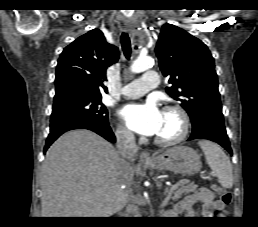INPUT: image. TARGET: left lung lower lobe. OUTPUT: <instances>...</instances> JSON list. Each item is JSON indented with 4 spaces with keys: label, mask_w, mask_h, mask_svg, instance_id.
Instances as JSON below:
<instances>
[{
    "label": "left lung lower lobe",
    "mask_w": 258,
    "mask_h": 227,
    "mask_svg": "<svg viewBox=\"0 0 258 227\" xmlns=\"http://www.w3.org/2000/svg\"><path fill=\"white\" fill-rule=\"evenodd\" d=\"M193 139H208L214 141L220 144L232 155L223 117H206L198 127L192 129V134L188 140Z\"/></svg>",
    "instance_id": "left-lung-lower-lobe-1"
}]
</instances>
